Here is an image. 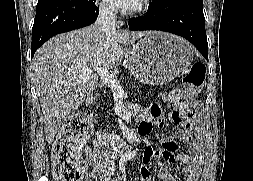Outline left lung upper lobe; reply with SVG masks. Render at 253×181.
<instances>
[{"label":"left lung upper lobe","instance_id":"left-lung-upper-lobe-1","mask_svg":"<svg viewBox=\"0 0 253 181\" xmlns=\"http://www.w3.org/2000/svg\"><path fill=\"white\" fill-rule=\"evenodd\" d=\"M162 1L164 0H152L151 3L149 4L150 7H155L159 5Z\"/></svg>","mask_w":253,"mask_h":181}]
</instances>
